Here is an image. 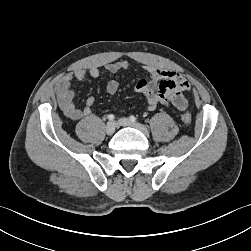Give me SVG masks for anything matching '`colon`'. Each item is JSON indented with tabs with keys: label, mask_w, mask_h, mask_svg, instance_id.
<instances>
[{
	"label": "colon",
	"mask_w": 251,
	"mask_h": 251,
	"mask_svg": "<svg viewBox=\"0 0 251 251\" xmlns=\"http://www.w3.org/2000/svg\"><path fill=\"white\" fill-rule=\"evenodd\" d=\"M181 119L187 125H189L192 122V117L189 113H183L181 115Z\"/></svg>",
	"instance_id": "5ec220e1"
}]
</instances>
